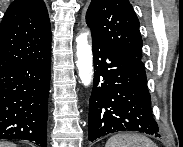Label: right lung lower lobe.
Masks as SVG:
<instances>
[{
  "label": "right lung lower lobe",
  "mask_w": 183,
  "mask_h": 147,
  "mask_svg": "<svg viewBox=\"0 0 183 147\" xmlns=\"http://www.w3.org/2000/svg\"><path fill=\"white\" fill-rule=\"evenodd\" d=\"M51 50L0 71V140L46 147Z\"/></svg>",
  "instance_id": "1"
}]
</instances>
